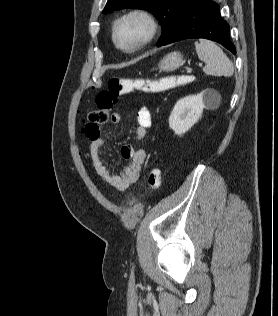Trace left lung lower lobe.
<instances>
[{
	"label": "left lung lower lobe",
	"instance_id": "left-lung-lower-lobe-1",
	"mask_svg": "<svg viewBox=\"0 0 278 316\" xmlns=\"http://www.w3.org/2000/svg\"><path fill=\"white\" fill-rule=\"evenodd\" d=\"M229 30V24L221 18L216 3L212 0H189L172 34L162 45L185 39L205 38L220 43L235 54Z\"/></svg>",
	"mask_w": 278,
	"mask_h": 316
}]
</instances>
